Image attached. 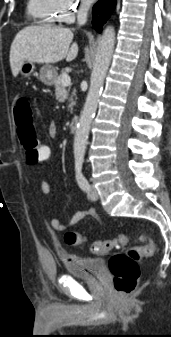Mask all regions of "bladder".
<instances>
[{
    "label": "bladder",
    "mask_w": 171,
    "mask_h": 337,
    "mask_svg": "<svg viewBox=\"0 0 171 337\" xmlns=\"http://www.w3.org/2000/svg\"><path fill=\"white\" fill-rule=\"evenodd\" d=\"M60 258L66 273L75 277L94 278L104 269L102 258L82 257L69 253L62 254Z\"/></svg>",
    "instance_id": "bladder-1"
}]
</instances>
